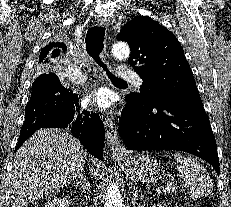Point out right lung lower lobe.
<instances>
[{"label":"right lung lower lobe","mask_w":231,"mask_h":207,"mask_svg":"<svg viewBox=\"0 0 231 207\" xmlns=\"http://www.w3.org/2000/svg\"><path fill=\"white\" fill-rule=\"evenodd\" d=\"M67 127L91 155L102 158L105 133L100 117L80 111L77 95L64 88L57 75L42 74L32 84L16 150L40 128Z\"/></svg>","instance_id":"98d812e1"}]
</instances>
